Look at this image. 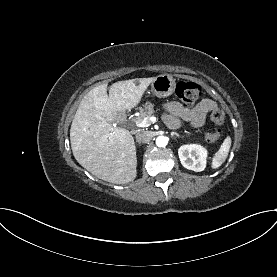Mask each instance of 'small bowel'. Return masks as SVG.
<instances>
[{
	"label": "small bowel",
	"mask_w": 277,
	"mask_h": 277,
	"mask_svg": "<svg viewBox=\"0 0 277 277\" xmlns=\"http://www.w3.org/2000/svg\"><path fill=\"white\" fill-rule=\"evenodd\" d=\"M215 107L216 103L211 99H203L194 108L175 101L169 102L164 105V120L172 128L179 127L182 122L200 127L204 124L207 113Z\"/></svg>",
	"instance_id": "1"
}]
</instances>
